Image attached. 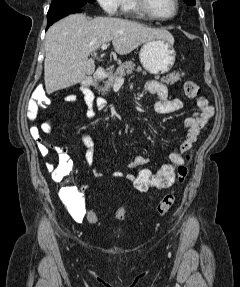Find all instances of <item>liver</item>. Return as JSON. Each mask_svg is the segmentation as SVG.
<instances>
[{
    "label": "liver",
    "mask_w": 240,
    "mask_h": 287,
    "mask_svg": "<svg viewBox=\"0 0 240 287\" xmlns=\"http://www.w3.org/2000/svg\"><path fill=\"white\" fill-rule=\"evenodd\" d=\"M173 39L166 29L127 19L73 14L52 25L45 37L44 80L47 94L82 82L88 56L110 41L125 55L152 39ZM174 40V39H173Z\"/></svg>",
    "instance_id": "6515ba94"
}]
</instances>
